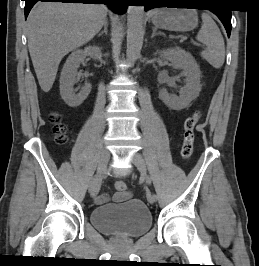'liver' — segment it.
Returning <instances> with one entry per match:
<instances>
[{
	"mask_svg": "<svg viewBox=\"0 0 259 266\" xmlns=\"http://www.w3.org/2000/svg\"><path fill=\"white\" fill-rule=\"evenodd\" d=\"M101 4L38 2L27 18L28 49L41 89L50 91L62 58L103 27Z\"/></svg>",
	"mask_w": 259,
	"mask_h": 266,
	"instance_id": "liver-1",
	"label": "liver"
}]
</instances>
